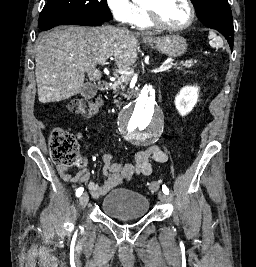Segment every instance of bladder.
Returning a JSON list of instances; mask_svg holds the SVG:
<instances>
[{
	"label": "bladder",
	"instance_id": "obj_1",
	"mask_svg": "<svg viewBox=\"0 0 256 267\" xmlns=\"http://www.w3.org/2000/svg\"><path fill=\"white\" fill-rule=\"evenodd\" d=\"M149 199L136 191L122 188L102 197V211L115 218H139L147 215Z\"/></svg>",
	"mask_w": 256,
	"mask_h": 267
}]
</instances>
